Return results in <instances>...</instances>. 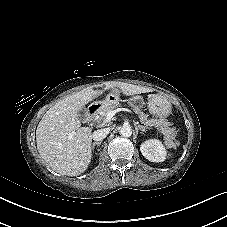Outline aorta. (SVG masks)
Wrapping results in <instances>:
<instances>
[{"label":"aorta","instance_id":"1","mask_svg":"<svg viewBox=\"0 0 227 227\" xmlns=\"http://www.w3.org/2000/svg\"><path fill=\"white\" fill-rule=\"evenodd\" d=\"M119 133L123 136V137H130L132 135V129L129 125H123L120 130Z\"/></svg>","mask_w":227,"mask_h":227}]
</instances>
